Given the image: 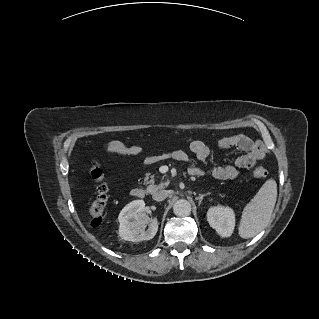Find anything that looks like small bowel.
I'll return each instance as SVG.
<instances>
[{"instance_id":"c3829d8e","label":"small bowel","mask_w":319,"mask_h":319,"mask_svg":"<svg viewBox=\"0 0 319 319\" xmlns=\"http://www.w3.org/2000/svg\"><path fill=\"white\" fill-rule=\"evenodd\" d=\"M221 148L229 149L236 148L244 152L236 159L234 164L226 166H217L212 169L213 176L218 180H234L238 177L240 169L250 170L254 167L257 161L262 160L265 156V149L258 141H254L251 138L242 135L235 134L225 137L219 141ZM190 151L196 156V158L203 162L208 159L210 155L209 147L200 140H194L190 143ZM105 152L108 154H120L128 156H142L143 150L136 145H130L123 142H110L104 147ZM171 157L179 162H187L189 160L188 154L181 149L172 151ZM147 160L155 161L158 158L150 155L145 157ZM202 172L200 167H193L189 170V173H195L199 175Z\"/></svg>"}]
</instances>
